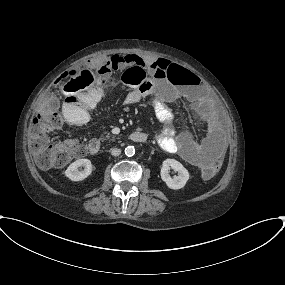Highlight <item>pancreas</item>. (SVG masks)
I'll return each mask as SVG.
<instances>
[{
    "mask_svg": "<svg viewBox=\"0 0 285 285\" xmlns=\"http://www.w3.org/2000/svg\"><path fill=\"white\" fill-rule=\"evenodd\" d=\"M109 137H110V135H109V134H107V135H106V138H109Z\"/></svg>",
    "mask_w": 285,
    "mask_h": 285,
    "instance_id": "1",
    "label": "pancreas"
}]
</instances>
